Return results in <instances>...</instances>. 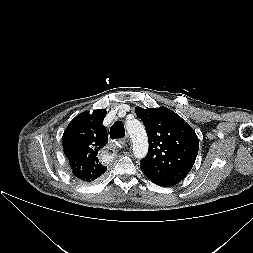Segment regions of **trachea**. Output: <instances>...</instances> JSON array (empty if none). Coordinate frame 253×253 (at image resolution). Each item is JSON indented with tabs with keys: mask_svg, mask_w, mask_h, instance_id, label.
I'll use <instances>...</instances> for the list:
<instances>
[{
	"mask_svg": "<svg viewBox=\"0 0 253 253\" xmlns=\"http://www.w3.org/2000/svg\"><path fill=\"white\" fill-rule=\"evenodd\" d=\"M125 136V129L122 122H115L110 129V137L112 139H118Z\"/></svg>",
	"mask_w": 253,
	"mask_h": 253,
	"instance_id": "3493384b",
	"label": "trachea"
}]
</instances>
